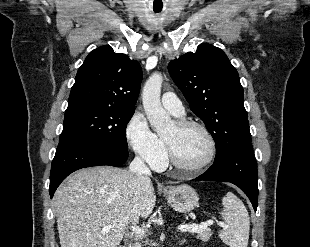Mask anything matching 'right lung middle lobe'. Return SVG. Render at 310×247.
<instances>
[{
	"label": "right lung middle lobe",
	"instance_id": "obj_1",
	"mask_svg": "<svg viewBox=\"0 0 310 247\" xmlns=\"http://www.w3.org/2000/svg\"><path fill=\"white\" fill-rule=\"evenodd\" d=\"M134 111L110 108L67 109L59 143L87 141L118 150H127L126 127Z\"/></svg>",
	"mask_w": 310,
	"mask_h": 247
}]
</instances>
